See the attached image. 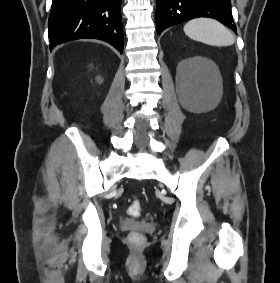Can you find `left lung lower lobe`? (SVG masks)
Returning a JSON list of instances; mask_svg holds the SVG:
<instances>
[{
    "mask_svg": "<svg viewBox=\"0 0 280 283\" xmlns=\"http://www.w3.org/2000/svg\"><path fill=\"white\" fill-rule=\"evenodd\" d=\"M197 17L214 18L237 32L230 0H157V34L172 25Z\"/></svg>",
    "mask_w": 280,
    "mask_h": 283,
    "instance_id": "1",
    "label": "left lung lower lobe"
}]
</instances>
